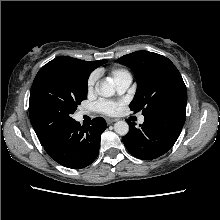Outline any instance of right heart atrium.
Masks as SVG:
<instances>
[{"label":"right heart atrium","mask_w":220,"mask_h":220,"mask_svg":"<svg viewBox=\"0 0 220 220\" xmlns=\"http://www.w3.org/2000/svg\"><path fill=\"white\" fill-rule=\"evenodd\" d=\"M94 84H95V77L92 76L89 78L88 82H87V91L91 92L94 88Z\"/></svg>","instance_id":"1"}]
</instances>
